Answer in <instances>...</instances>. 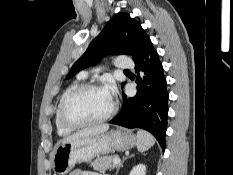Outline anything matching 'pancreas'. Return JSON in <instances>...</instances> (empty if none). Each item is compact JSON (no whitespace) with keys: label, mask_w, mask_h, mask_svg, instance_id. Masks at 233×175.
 I'll use <instances>...</instances> for the list:
<instances>
[{"label":"pancreas","mask_w":233,"mask_h":175,"mask_svg":"<svg viewBox=\"0 0 233 175\" xmlns=\"http://www.w3.org/2000/svg\"><path fill=\"white\" fill-rule=\"evenodd\" d=\"M118 156H101L96 158L94 161L90 162V166L94 170L105 171L107 169H114L117 165L113 164V161Z\"/></svg>","instance_id":"cf45deb5"}]
</instances>
